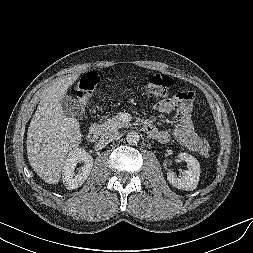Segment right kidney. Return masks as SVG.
<instances>
[{
  "mask_svg": "<svg viewBox=\"0 0 253 253\" xmlns=\"http://www.w3.org/2000/svg\"><path fill=\"white\" fill-rule=\"evenodd\" d=\"M79 162H83L84 165L79 170V173H75V168ZM93 167V157L88 154L84 149L77 148L73 150L62 169V180L64 186L68 190H73L80 187L84 181L88 178Z\"/></svg>",
  "mask_w": 253,
  "mask_h": 253,
  "instance_id": "obj_1",
  "label": "right kidney"
}]
</instances>
